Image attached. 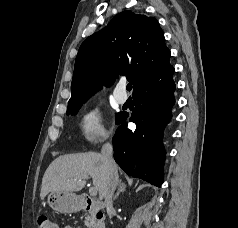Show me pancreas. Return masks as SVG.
<instances>
[{"label":"pancreas","mask_w":238,"mask_h":228,"mask_svg":"<svg viewBox=\"0 0 238 228\" xmlns=\"http://www.w3.org/2000/svg\"><path fill=\"white\" fill-rule=\"evenodd\" d=\"M85 225L88 228H93L95 227V218H94V214L92 213L91 215H87L84 221Z\"/></svg>","instance_id":"obj_1"}]
</instances>
